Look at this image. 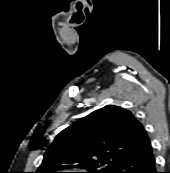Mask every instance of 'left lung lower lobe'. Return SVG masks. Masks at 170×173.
<instances>
[{
  "instance_id": "obj_1",
  "label": "left lung lower lobe",
  "mask_w": 170,
  "mask_h": 173,
  "mask_svg": "<svg viewBox=\"0 0 170 173\" xmlns=\"http://www.w3.org/2000/svg\"><path fill=\"white\" fill-rule=\"evenodd\" d=\"M113 173H157L151 143L142 151L125 158Z\"/></svg>"
}]
</instances>
